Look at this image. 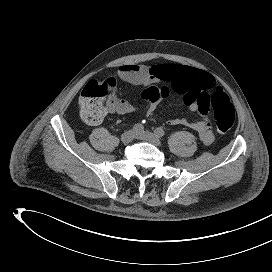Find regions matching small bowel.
I'll return each mask as SVG.
<instances>
[{
  "label": "small bowel",
  "mask_w": 272,
  "mask_h": 272,
  "mask_svg": "<svg viewBox=\"0 0 272 272\" xmlns=\"http://www.w3.org/2000/svg\"><path fill=\"white\" fill-rule=\"evenodd\" d=\"M118 76L125 82L133 85L149 87L153 83L167 82L170 88L183 95L188 109L199 114L201 119L189 122L183 118L167 121L169 125H184L194 130L204 145L214 141L208 110L209 91L215 87V78L209 72L184 65L159 64L146 66L139 64H125L118 69ZM159 101H145L142 106H135L127 100L115 99L109 112L130 114L142 112L150 120H155V112Z\"/></svg>",
  "instance_id": "obj_1"
}]
</instances>
